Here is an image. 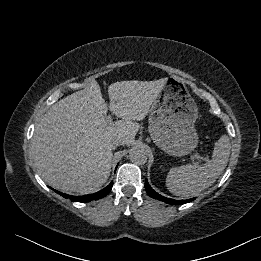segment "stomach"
I'll return each instance as SVG.
<instances>
[{
    "mask_svg": "<svg viewBox=\"0 0 261 261\" xmlns=\"http://www.w3.org/2000/svg\"><path fill=\"white\" fill-rule=\"evenodd\" d=\"M149 110V133L165 153L184 156L198 144V107L184 80L170 76Z\"/></svg>",
    "mask_w": 261,
    "mask_h": 261,
    "instance_id": "obj_1",
    "label": "stomach"
}]
</instances>
